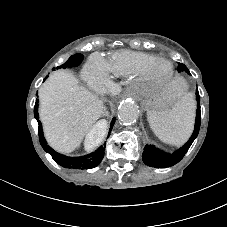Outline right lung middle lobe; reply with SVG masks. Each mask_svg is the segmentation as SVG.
I'll use <instances>...</instances> for the list:
<instances>
[{
    "label": "right lung middle lobe",
    "instance_id": "right-lung-middle-lobe-1",
    "mask_svg": "<svg viewBox=\"0 0 227 227\" xmlns=\"http://www.w3.org/2000/svg\"><path fill=\"white\" fill-rule=\"evenodd\" d=\"M82 59L83 57L81 54H76L75 56H71L66 63L61 65L60 68L66 69V68L78 66L81 63Z\"/></svg>",
    "mask_w": 227,
    "mask_h": 227
}]
</instances>
